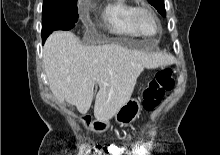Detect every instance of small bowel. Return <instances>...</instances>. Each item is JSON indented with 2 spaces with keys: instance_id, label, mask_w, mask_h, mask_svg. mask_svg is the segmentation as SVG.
<instances>
[{
  "instance_id": "obj_1",
  "label": "small bowel",
  "mask_w": 220,
  "mask_h": 155,
  "mask_svg": "<svg viewBox=\"0 0 220 155\" xmlns=\"http://www.w3.org/2000/svg\"><path fill=\"white\" fill-rule=\"evenodd\" d=\"M127 140H128V141H133V140H134V137H133V136H128V137H127ZM109 146H116V145H109ZM109 146H108V147H109ZM106 151H107V153H108V148H107ZM122 153H123V151H122Z\"/></svg>"
}]
</instances>
